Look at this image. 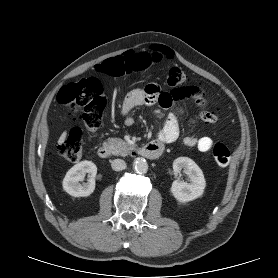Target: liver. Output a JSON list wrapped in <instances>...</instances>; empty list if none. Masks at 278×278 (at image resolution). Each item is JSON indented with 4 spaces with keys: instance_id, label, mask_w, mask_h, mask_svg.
I'll return each mask as SVG.
<instances>
[{
    "instance_id": "1",
    "label": "liver",
    "mask_w": 278,
    "mask_h": 278,
    "mask_svg": "<svg viewBox=\"0 0 278 278\" xmlns=\"http://www.w3.org/2000/svg\"><path fill=\"white\" fill-rule=\"evenodd\" d=\"M66 135H67V133H66V131H64V132L61 134V136H60V138H59V140H58V144H62V143L65 141Z\"/></svg>"
}]
</instances>
